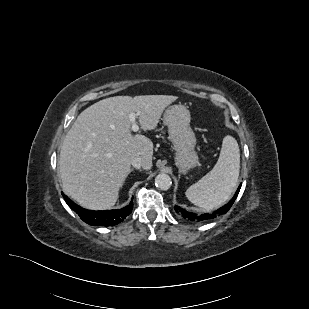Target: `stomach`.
I'll list each match as a JSON object with an SVG mask.
<instances>
[{"instance_id": "stomach-1", "label": "stomach", "mask_w": 309, "mask_h": 309, "mask_svg": "<svg viewBox=\"0 0 309 309\" xmlns=\"http://www.w3.org/2000/svg\"><path fill=\"white\" fill-rule=\"evenodd\" d=\"M190 120V112L183 105L170 106L163 118L175 150V162L182 173H186L198 163L195 152L196 136L190 127Z\"/></svg>"}]
</instances>
